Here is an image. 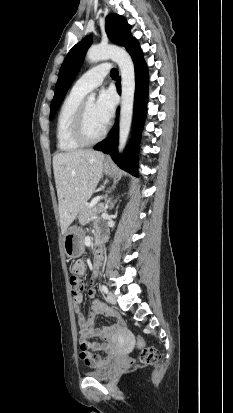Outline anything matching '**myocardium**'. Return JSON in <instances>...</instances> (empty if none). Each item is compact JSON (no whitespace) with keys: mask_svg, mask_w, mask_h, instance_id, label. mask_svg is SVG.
I'll return each mask as SVG.
<instances>
[{"mask_svg":"<svg viewBox=\"0 0 233 413\" xmlns=\"http://www.w3.org/2000/svg\"><path fill=\"white\" fill-rule=\"evenodd\" d=\"M86 104L87 102H82L77 110L72 125V135L74 139L81 145H93L101 141L106 136L108 127L105 126L102 132L96 137L88 136L86 130Z\"/></svg>","mask_w":233,"mask_h":413,"instance_id":"f54148a6","label":"myocardium"}]
</instances>
